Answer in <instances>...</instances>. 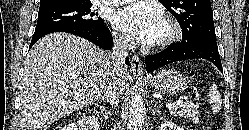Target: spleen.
<instances>
[{"label": "spleen", "instance_id": "obj_1", "mask_svg": "<svg viewBox=\"0 0 249 130\" xmlns=\"http://www.w3.org/2000/svg\"><path fill=\"white\" fill-rule=\"evenodd\" d=\"M208 98V102L213 113H218L221 109L222 99L220 93L217 90V87L214 84L209 88Z\"/></svg>", "mask_w": 249, "mask_h": 130}]
</instances>
